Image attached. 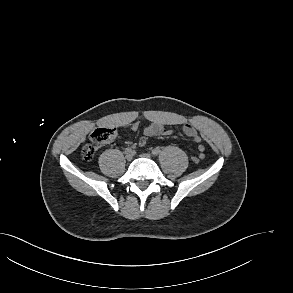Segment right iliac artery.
Listing matches in <instances>:
<instances>
[{
    "instance_id": "82829eb1",
    "label": "right iliac artery",
    "mask_w": 293,
    "mask_h": 293,
    "mask_svg": "<svg viewBox=\"0 0 293 293\" xmlns=\"http://www.w3.org/2000/svg\"><path fill=\"white\" fill-rule=\"evenodd\" d=\"M125 153L128 154V153H133L132 149L130 147H127L125 149Z\"/></svg>"
}]
</instances>
